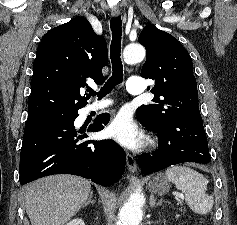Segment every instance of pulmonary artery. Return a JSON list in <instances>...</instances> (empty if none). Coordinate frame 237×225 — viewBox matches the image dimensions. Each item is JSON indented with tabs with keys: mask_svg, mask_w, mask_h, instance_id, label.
I'll list each match as a JSON object with an SVG mask.
<instances>
[{
	"mask_svg": "<svg viewBox=\"0 0 237 225\" xmlns=\"http://www.w3.org/2000/svg\"><path fill=\"white\" fill-rule=\"evenodd\" d=\"M127 91L134 95H139L143 92L142 80L139 77H130L127 83ZM112 104L110 100H103L92 103L89 106L90 110H104Z\"/></svg>",
	"mask_w": 237,
	"mask_h": 225,
	"instance_id": "pulmonary-artery-1",
	"label": "pulmonary artery"
}]
</instances>
